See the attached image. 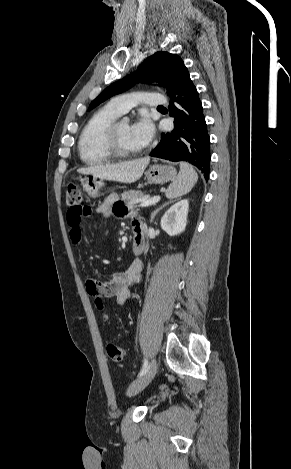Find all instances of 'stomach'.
Returning a JSON list of instances; mask_svg holds the SVG:
<instances>
[{
	"label": "stomach",
	"mask_w": 291,
	"mask_h": 469,
	"mask_svg": "<svg viewBox=\"0 0 291 469\" xmlns=\"http://www.w3.org/2000/svg\"><path fill=\"white\" fill-rule=\"evenodd\" d=\"M145 177L149 183L163 184L176 177V169L168 165L155 164L145 172ZM104 179L94 176H87L82 180L83 189L92 198H98L102 195Z\"/></svg>",
	"instance_id": "obj_1"
}]
</instances>
